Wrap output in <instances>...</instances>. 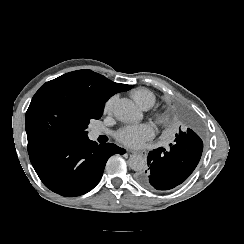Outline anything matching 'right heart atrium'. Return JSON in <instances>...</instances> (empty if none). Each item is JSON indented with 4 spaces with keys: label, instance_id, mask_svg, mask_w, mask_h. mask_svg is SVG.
Instances as JSON below:
<instances>
[{
    "label": "right heart atrium",
    "instance_id": "obj_1",
    "mask_svg": "<svg viewBox=\"0 0 244 244\" xmlns=\"http://www.w3.org/2000/svg\"><path fill=\"white\" fill-rule=\"evenodd\" d=\"M116 95H113L111 96L106 104H105V107H104V112L107 114V113H110L112 110H113V106H114V103L116 102Z\"/></svg>",
    "mask_w": 244,
    "mask_h": 244
}]
</instances>
